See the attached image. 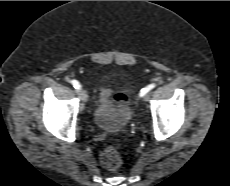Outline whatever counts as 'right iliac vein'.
Instances as JSON below:
<instances>
[{"label":"right iliac vein","instance_id":"right-iliac-vein-1","mask_svg":"<svg viewBox=\"0 0 230 186\" xmlns=\"http://www.w3.org/2000/svg\"><path fill=\"white\" fill-rule=\"evenodd\" d=\"M78 94L80 95L81 100H82L83 102H87V101H88V95H87V93H86V91H85L84 89H80V90L78 91Z\"/></svg>","mask_w":230,"mask_h":186}]
</instances>
